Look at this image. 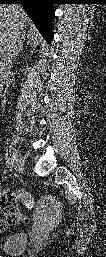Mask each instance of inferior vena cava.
I'll use <instances>...</instances> for the list:
<instances>
[{"instance_id": "obj_1", "label": "inferior vena cava", "mask_w": 106, "mask_h": 257, "mask_svg": "<svg viewBox=\"0 0 106 257\" xmlns=\"http://www.w3.org/2000/svg\"><path fill=\"white\" fill-rule=\"evenodd\" d=\"M21 40V32L18 28H12L5 42L0 48V74L8 82L11 76V68L13 59L17 51V47Z\"/></svg>"}]
</instances>
